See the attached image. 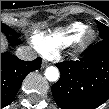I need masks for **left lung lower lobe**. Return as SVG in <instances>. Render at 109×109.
Segmentation results:
<instances>
[{
  "mask_svg": "<svg viewBox=\"0 0 109 109\" xmlns=\"http://www.w3.org/2000/svg\"><path fill=\"white\" fill-rule=\"evenodd\" d=\"M60 79L52 95L61 109H94L109 98V39L91 47L79 61L56 64Z\"/></svg>",
  "mask_w": 109,
  "mask_h": 109,
  "instance_id": "0a47b994",
  "label": "left lung lower lobe"
}]
</instances>
